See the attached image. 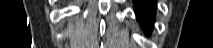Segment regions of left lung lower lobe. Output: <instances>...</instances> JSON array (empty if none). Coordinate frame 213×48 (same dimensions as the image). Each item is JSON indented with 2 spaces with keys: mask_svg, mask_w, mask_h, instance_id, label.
Here are the masks:
<instances>
[{
  "mask_svg": "<svg viewBox=\"0 0 213 48\" xmlns=\"http://www.w3.org/2000/svg\"><path fill=\"white\" fill-rule=\"evenodd\" d=\"M137 20L141 23L146 34H150L152 22L155 19L156 0H134Z\"/></svg>",
  "mask_w": 213,
  "mask_h": 48,
  "instance_id": "obj_1",
  "label": "left lung lower lobe"
}]
</instances>
